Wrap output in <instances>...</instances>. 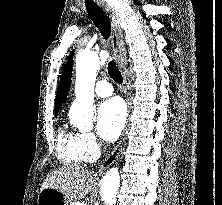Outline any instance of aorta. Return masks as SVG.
<instances>
[{
	"label": "aorta",
	"mask_w": 222,
	"mask_h": 205,
	"mask_svg": "<svg viewBox=\"0 0 222 205\" xmlns=\"http://www.w3.org/2000/svg\"><path fill=\"white\" fill-rule=\"evenodd\" d=\"M105 59L97 52H82L76 61L75 100L69 111L70 122L81 131L93 128L95 114L94 85L97 72ZM123 185L117 167L111 168L103 178L96 205H115Z\"/></svg>",
	"instance_id": "1"
}]
</instances>
